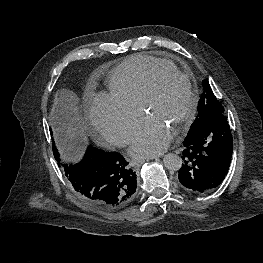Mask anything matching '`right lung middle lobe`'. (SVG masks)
Listing matches in <instances>:
<instances>
[{
  "label": "right lung middle lobe",
  "mask_w": 263,
  "mask_h": 263,
  "mask_svg": "<svg viewBox=\"0 0 263 263\" xmlns=\"http://www.w3.org/2000/svg\"><path fill=\"white\" fill-rule=\"evenodd\" d=\"M50 133H52V129L50 128ZM53 142V152H54V157L58 162L59 167L65 173L66 171V165L68 162V155L64 154V140L59 138L58 136H55L52 138Z\"/></svg>",
  "instance_id": "dd1d6c3e"
}]
</instances>
